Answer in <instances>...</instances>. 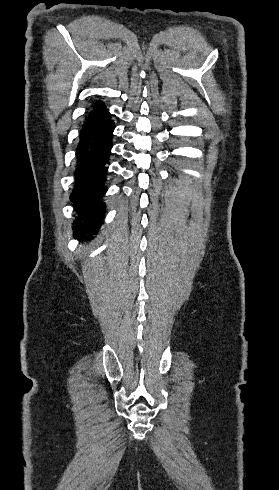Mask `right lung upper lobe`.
<instances>
[{
    "label": "right lung upper lobe",
    "instance_id": "cb5924a9",
    "mask_svg": "<svg viewBox=\"0 0 279 490\" xmlns=\"http://www.w3.org/2000/svg\"><path fill=\"white\" fill-rule=\"evenodd\" d=\"M112 122L110 113L106 110V106L102 103H98V105H94V108L88 113L86 121L81 128L80 136L95 132Z\"/></svg>",
    "mask_w": 279,
    "mask_h": 490
}]
</instances>
